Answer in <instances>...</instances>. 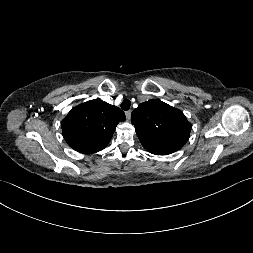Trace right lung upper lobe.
<instances>
[{"label": "right lung upper lobe", "instance_id": "cb5924a9", "mask_svg": "<svg viewBox=\"0 0 253 253\" xmlns=\"http://www.w3.org/2000/svg\"><path fill=\"white\" fill-rule=\"evenodd\" d=\"M125 120L116 106L94 99L74 107L62 120V133L74 150L92 154L103 150L110 142L117 124Z\"/></svg>", "mask_w": 253, "mask_h": 253}]
</instances>
